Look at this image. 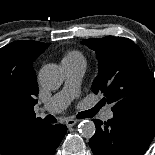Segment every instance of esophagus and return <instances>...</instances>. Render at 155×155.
<instances>
[{
  "instance_id": "34e87169",
  "label": "esophagus",
  "mask_w": 155,
  "mask_h": 155,
  "mask_svg": "<svg viewBox=\"0 0 155 155\" xmlns=\"http://www.w3.org/2000/svg\"><path fill=\"white\" fill-rule=\"evenodd\" d=\"M65 123H66V125L68 127H72V126H74L77 123V121L75 119H73V118H69V119L66 120Z\"/></svg>"
}]
</instances>
